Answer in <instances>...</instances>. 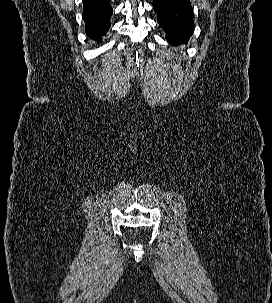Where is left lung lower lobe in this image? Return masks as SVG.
<instances>
[{
  "mask_svg": "<svg viewBox=\"0 0 272 303\" xmlns=\"http://www.w3.org/2000/svg\"><path fill=\"white\" fill-rule=\"evenodd\" d=\"M157 21L171 45L186 43L194 31L190 0H153Z\"/></svg>",
  "mask_w": 272,
  "mask_h": 303,
  "instance_id": "left-lung-lower-lobe-1",
  "label": "left lung lower lobe"
}]
</instances>
